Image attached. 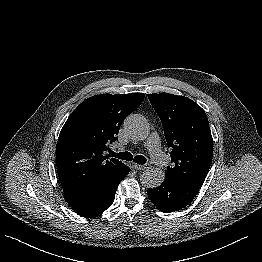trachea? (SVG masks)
Listing matches in <instances>:
<instances>
[{
    "label": "trachea",
    "mask_w": 262,
    "mask_h": 262,
    "mask_svg": "<svg viewBox=\"0 0 262 262\" xmlns=\"http://www.w3.org/2000/svg\"><path fill=\"white\" fill-rule=\"evenodd\" d=\"M110 156H113L115 158L121 159V160H126V161H134L137 164H145L146 163V158L142 155H137L135 157L132 156L130 152H120V153H115L113 151H109Z\"/></svg>",
    "instance_id": "obj_1"
}]
</instances>
